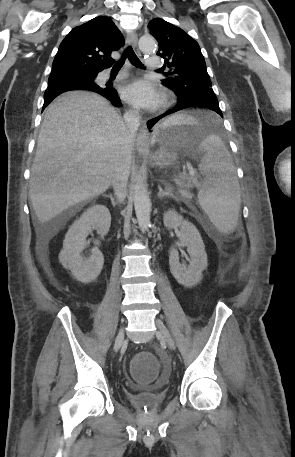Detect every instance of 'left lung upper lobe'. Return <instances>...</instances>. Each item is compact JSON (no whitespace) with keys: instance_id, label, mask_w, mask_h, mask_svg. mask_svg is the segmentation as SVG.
<instances>
[{"instance_id":"obj_1","label":"left lung upper lobe","mask_w":295,"mask_h":457,"mask_svg":"<svg viewBox=\"0 0 295 457\" xmlns=\"http://www.w3.org/2000/svg\"><path fill=\"white\" fill-rule=\"evenodd\" d=\"M148 28L158 41L157 55L165 59L170 69L164 73L167 78L162 84L173 90L179 101L215 96L199 44L181 28L160 18L152 19Z\"/></svg>"}]
</instances>
